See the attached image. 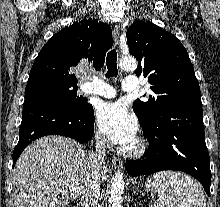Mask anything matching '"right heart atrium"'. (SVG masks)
<instances>
[{
  "instance_id": "1",
  "label": "right heart atrium",
  "mask_w": 220,
  "mask_h": 207,
  "mask_svg": "<svg viewBox=\"0 0 220 207\" xmlns=\"http://www.w3.org/2000/svg\"><path fill=\"white\" fill-rule=\"evenodd\" d=\"M95 137L96 140L100 143H103L105 141L104 136L99 131H96Z\"/></svg>"
}]
</instances>
